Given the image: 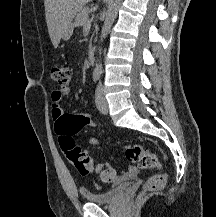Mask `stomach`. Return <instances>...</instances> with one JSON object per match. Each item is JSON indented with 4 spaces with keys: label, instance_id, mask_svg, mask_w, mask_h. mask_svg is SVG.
<instances>
[{
    "label": "stomach",
    "instance_id": "1",
    "mask_svg": "<svg viewBox=\"0 0 216 217\" xmlns=\"http://www.w3.org/2000/svg\"><path fill=\"white\" fill-rule=\"evenodd\" d=\"M73 30H74V24L71 23V25L68 26L67 29L65 30L62 38L64 40H68L71 37V35L73 34Z\"/></svg>",
    "mask_w": 216,
    "mask_h": 217
}]
</instances>
